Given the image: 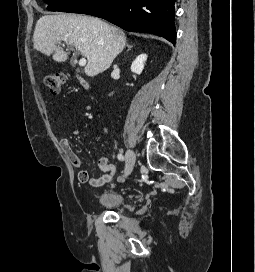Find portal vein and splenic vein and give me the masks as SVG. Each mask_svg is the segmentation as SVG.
Instances as JSON below:
<instances>
[{"label": "portal vein and splenic vein", "instance_id": "obj_1", "mask_svg": "<svg viewBox=\"0 0 255 272\" xmlns=\"http://www.w3.org/2000/svg\"><path fill=\"white\" fill-rule=\"evenodd\" d=\"M79 65H80V66H85V65H86V59H85V58H81V59L79 60Z\"/></svg>", "mask_w": 255, "mask_h": 272}]
</instances>
